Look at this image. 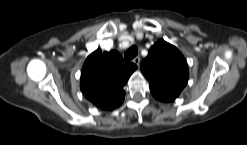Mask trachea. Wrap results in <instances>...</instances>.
Returning <instances> with one entry per match:
<instances>
[{
    "instance_id": "1",
    "label": "trachea",
    "mask_w": 247,
    "mask_h": 145,
    "mask_svg": "<svg viewBox=\"0 0 247 145\" xmlns=\"http://www.w3.org/2000/svg\"><path fill=\"white\" fill-rule=\"evenodd\" d=\"M138 53V49L135 45H132L125 53L124 57L126 60L133 59Z\"/></svg>"
}]
</instances>
